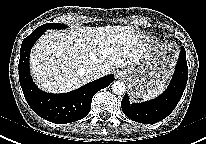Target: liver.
<instances>
[{
    "label": "liver",
    "mask_w": 206,
    "mask_h": 144,
    "mask_svg": "<svg viewBox=\"0 0 206 144\" xmlns=\"http://www.w3.org/2000/svg\"><path fill=\"white\" fill-rule=\"evenodd\" d=\"M146 47L133 26L75 27L67 32L50 31L34 45L30 70L37 85L50 93H65L91 80V66L103 75L137 63Z\"/></svg>",
    "instance_id": "1"
}]
</instances>
